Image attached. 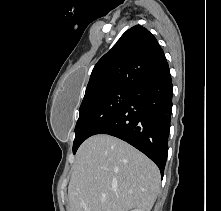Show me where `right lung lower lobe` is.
<instances>
[{"mask_svg": "<svg viewBox=\"0 0 221 211\" xmlns=\"http://www.w3.org/2000/svg\"><path fill=\"white\" fill-rule=\"evenodd\" d=\"M173 86L170 71L132 87L119 112L96 134L120 138L148 156L164 175L172 113Z\"/></svg>", "mask_w": 221, "mask_h": 211, "instance_id": "right-lung-lower-lobe-1", "label": "right lung lower lobe"}]
</instances>
